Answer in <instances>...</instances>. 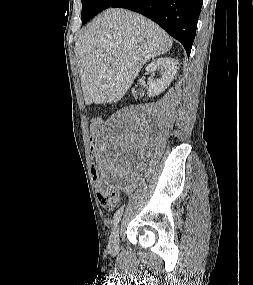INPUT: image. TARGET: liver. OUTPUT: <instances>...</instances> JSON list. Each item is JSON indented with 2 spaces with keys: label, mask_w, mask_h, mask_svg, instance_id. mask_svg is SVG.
I'll list each match as a JSON object with an SVG mask.
<instances>
[{
  "label": "liver",
  "mask_w": 253,
  "mask_h": 285,
  "mask_svg": "<svg viewBox=\"0 0 253 285\" xmlns=\"http://www.w3.org/2000/svg\"><path fill=\"white\" fill-rule=\"evenodd\" d=\"M169 35L156 23L126 9H107L76 42L85 104L119 101L143 65L168 52Z\"/></svg>",
  "instance_id": "liver-1"
}]
</instances>
